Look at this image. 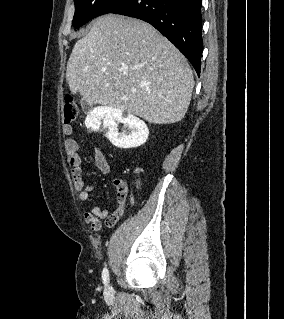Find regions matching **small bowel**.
Here are the masks:
<instances>
[{"label":"small bowel","mask_w":284,"mask_h":319,"mask_svg":"<svg viewBox=\"0 0 284 319\" xmlns=\"http://www.w3.org/2000/svg\"><path fill=\"white\" fill-rule=\"evenodd\" d=\"M63 132L71 135L73 128L65 125ZM67 161L72 168L71 175L75 189L78 192L80 201L90 200L91 193L96 189L97 184L94 180L88 182L82 176V160L79 154V144L74 138H67L64 143ZM94 164L102 173L110 174L111 167L105 153L98 147H94ZM127 200V190L125 186L119 185L117 189V207L113 212L100 206H94L90 211L83 214L84 221L90 225L93 232H99L103 225L107 228L113 227L122 217Z\"/></svg>","instance_id":"c3829d8e"}]
</instances>
